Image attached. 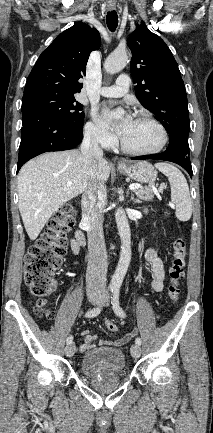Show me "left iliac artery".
<instances>
[{"label":"left iliac artery","instance_id":"left-iliac-artery-1","mask_svg":"<svg viewBox=\"0 0 213 433\" xmlns=\"http://www.w3.org/2000/svg\"><path fill=\"white\" fill-rule=\"evenodd\" d=\"M119 295H120V287L119 286L113 287L112 288V304H113L114 312L119 317H126L125 312L123 311V309L120 307V304H119ZM135 343L140 345L141 339L139 337L136 338Z\"/></svg>","mask_w":213,"mask_h":433}]
</instances>
